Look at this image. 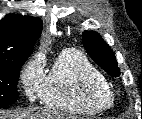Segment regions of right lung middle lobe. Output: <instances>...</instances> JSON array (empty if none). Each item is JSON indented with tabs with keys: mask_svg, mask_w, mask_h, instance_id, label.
I'll return each instance as SVG.
<instances>
[{
	"mask_svg": "<svg viewBox=\"0 0 142 119\" xmlns=\"http://www.w3.org/2000/svg\"><path fill=\"white\" fill-rule=\"evenodd\" d=\"M27 57L0 62V108L16 102L19 72Z\"/></svg>",
	"mask_w": 142,
	"mask_h": 119,
	"instance_id": "obj_1",
	"label": "right lung middle lobe"
}]
</instances>
